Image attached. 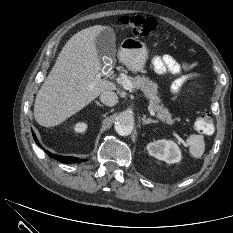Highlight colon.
Returning <instances> with one entry per match:
<instances>
[{
	"instance_id": "colon-1",
	"label": "colon",
	"mask_w": 233,
	"mask_h": 233,
	"mask_svg": "<svg viewBox=\"0 0 233 233\" xmlns=\"http://www.w3.org/2000/svg\"><path fill=\"white\" fill-rule=\"evenodd\" d=\"M119 24L127 31L138 35L148 36L157 28V22L152 17L141 15L122 16ZM195 129L202 134H212L214 132V123L208 112L201 113L195 121Z\"/></svg>"
}]
</instances>
